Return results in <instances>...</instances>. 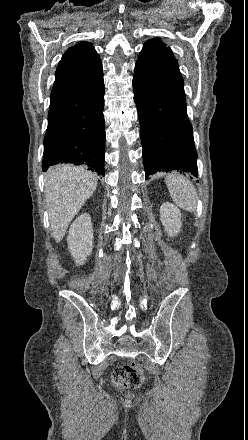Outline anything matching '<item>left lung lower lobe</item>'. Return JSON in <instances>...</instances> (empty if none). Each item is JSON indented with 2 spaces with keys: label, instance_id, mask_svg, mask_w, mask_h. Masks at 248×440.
<instances>
[{
  "label": "left lung lower lobe",
  "instance_id": "0a47b994",
  "mask_svg": "<svg viewBox=\"0 0 248 440\" xmlns=\"http://www.w3.org/2000/svg\"><path fill=\"white\" fill-rule=\"evenodd\" d=\"M146 179L158 172L179 170L198 177L197 152L186 102L167 90L133 77Z\"/></svg>",
  "mask_w": 248,
  "mask_h": 440
}]
</instances>
